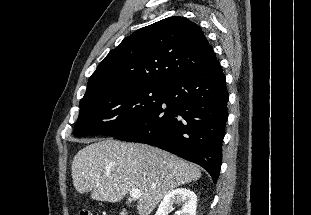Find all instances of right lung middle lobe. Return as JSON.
Masks as SVG:
<instances>
[{
  "mask_svg": "<svg viewBox=\"0 0 311 215\" xmlns=\"http://www.w3.org/2000/svg\"><path fill=\"white\" fill-rule=\"evenodd\" d=\"M163 92V86H139L85 97L74 135L120 134L150 115L160 105Z\"/></svg>",
  "mask_w": 311,
  "mask_h": 215,
  "instance_id": "obj_1",
  "label": "right lung middle lobe"
}]
</instances>
